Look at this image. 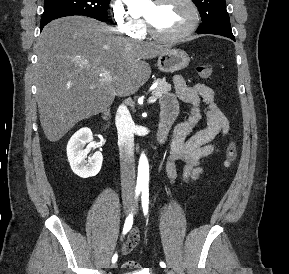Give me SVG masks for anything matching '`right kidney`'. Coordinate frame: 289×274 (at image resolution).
Returning a JSON list of instances; mask_svg holds the SVG:
<instances>
[{"label":"right kidney","mask_w":289,"mask_h":274,"mask_svg":"<svg viewBox=\"0 0 289 274\" xmlns=\"http://www.w3.org/2000/svg\"><path fill=\"white\" fill-rule=\"evenodd\" d=\"M86 145L87 147L84 149ZM93 146V134L87 127L75 132L67 144V157L71 169L81 178L96 176L101 169L103 161L101 152H95L88 162L85 160L89 148Z\"/></svg>","instance_id":"1"}]
</instances>
